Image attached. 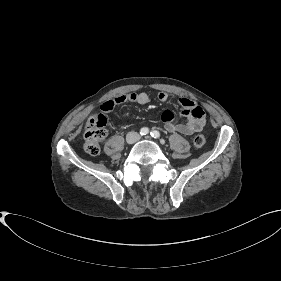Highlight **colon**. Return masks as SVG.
<instances>
[{"label":"colon","instance_id":"obj_1","mask_svg":"<svg viewBox=\"0 0 281 281\" xmlns=\"http://www.w3.org/2000/svg\"><path fill=\"white\" fill-rule=\"evenodd\" d=\"M108 115L105 113H95L87 121L84 139V148L90 155H98L100 153V142L107 135ZM206 142L202 134H198L193 139V144L197 148L204 146Z\"/></svg>","mask_w":281,"mask_h":281}]
</instances>
